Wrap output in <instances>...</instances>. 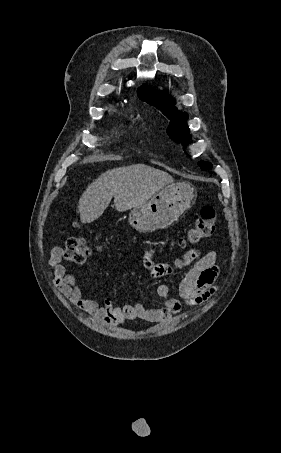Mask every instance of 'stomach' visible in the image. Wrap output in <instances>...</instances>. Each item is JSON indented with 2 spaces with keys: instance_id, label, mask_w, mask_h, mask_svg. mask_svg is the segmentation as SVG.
I'll return each mask as SVG.
<instances>
[{
  "instance_id": "obj_1",
  "label": "stomach",
  "mask_w": 281,
  "mask_h": 453,
  "mask_svg": "<svg viewBox=\"0 0 281 453\" xmlns=\"http://www.w3.org/2000/svg\"><path fill=\"white\" fill-rule=\"evenodd\" d=\"M195 196V188L190 182H171L145 204L134 206L129 212V224L139 233L168 229L190 208Z\"/></svg>"
}]
</instances>
